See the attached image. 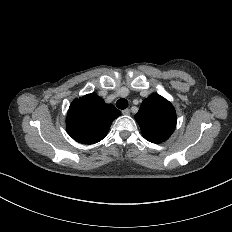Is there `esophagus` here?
Returning <instances> with one entry per match:
<instances>
[{"label":"esophagus","instance_id":"esophagus-1","mask_svg":"<svg viewBox=\"0 0 232 232\" xmlns=\"http://www.w3.org/2000/svg\"><path fill=\"white\" fill-rule=\"evenodd\" d=\"M123 115H130V110L129 109H124L122 110Z\"/></svg>","mask_w":232,"mask_h":232}]
</instances>
